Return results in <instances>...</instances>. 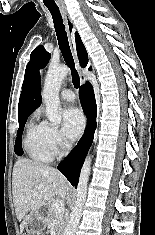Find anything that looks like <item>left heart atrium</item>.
Instances as JSON below:
<instances>
[{"mask_svg":"<svg viewBox=\"0 0 155 235\" xmlns=\"http://www.w3.org/2000/svg\"><path fill=\"white\" fill-rule=\"evenodd\" d=\"M62 130L64 135L70 139H76L84 127V116L80 110L76 108H68L64 110Z\"/></svg>","mask_w":155,"mask_h":235,"instance_id":"39dd6f15","label":"left heart atrium"}]
</instances>
